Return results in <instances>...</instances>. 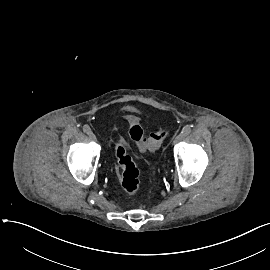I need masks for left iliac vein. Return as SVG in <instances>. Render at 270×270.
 Wrapping results in <instances>:
<instances>
[{
    "mask_svg": "<svg viewBox=\"0 0 270 270\" xmlns=\"http://www.w3.org/2000/svg\"><path fill=\"white\" fill-rule=\"evenodd\" d=\"M184 135L182 133H180L175 139H174V143H179L180 141H182L184 139Z\"/></svg>",
    "mask_w": 270,
    "mask_h": 270,
    "instance_id": "1",
    "label": "left iliac vein"
}]
</instances>
